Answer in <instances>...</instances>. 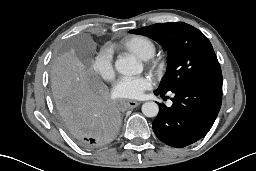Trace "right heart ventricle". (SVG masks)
Returning a JSON list of instances; mask_svg holds the SVG:
<instances>
[{
	"label": "right heart ventricle",
	"instance_id": "obj_1",
	"mask_svg": "<svg viewBox=\"0 0 256 171\" xmlns=\"http://www.w3.org/2000/svg\"><path fill=\"white\" fill-rule=\"evenodd\" d=\"M120 47L143 60L152 57L156 52L154 42L141 35L131 36L123 40Z\"/></svg>",
	"mask_w": 256,
	"mask_h": 171
}]
</instances>
